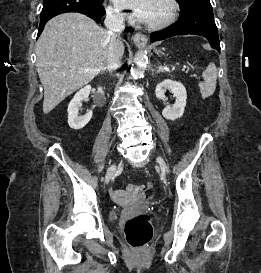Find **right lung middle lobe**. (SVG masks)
<instances>
[{"label": "right lung middle lobe", "mask_w": 261, "mask_h": 273, "mask_svg": "<svg viewBox=\"0 0 261 273\" xmlns=\"http://www.w3.org/2000/svg\"><path fill=\"white\" fill-rule=\"evenodd\" d=\"M93 1L103 3V0H93ZM48 9H49V8H48Z\"/></svg>", "instance_id": "dd1d6c3e"}]
</instances>
